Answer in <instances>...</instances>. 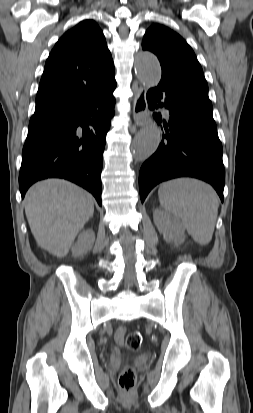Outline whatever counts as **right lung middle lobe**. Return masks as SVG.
<instances>
[{"instance_id":"right-lung-middle-lobe-1","label":"right lung middle lobe","mask_w":253,"mask_h":413,"mask_svg":"<svg viewBox=\"0 0 253 413\" xmlns=\"http://www.w3.org/2000/svg\"><path fill=\"white\" fill-rule=\"evenodd\" d=\"M55 115L52 116H41V117H31L30 122H29V129L28 131L35 130L37 128H40L42 126H45L48 124Z\"/></svg>"}]
</instances>
